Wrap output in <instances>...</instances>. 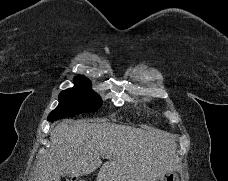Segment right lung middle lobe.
<instances>
[{"label":"right lung middle lobe","mask_w":228,"mask_h":181,"mask_svg":"<svg viewBox=\"0 0 228 181\" xmlns=\"http://www.w3.org/2000/svg\"><path fill=\"white\" fill-rule=\"evenodd\" d=\"M102 105L101 98L90 85L75 86L59 94V105L48 116V121L74 116L86 112H96Z\"/></svg>","instance_id":"dd1d6c3e"}]
</instances>
